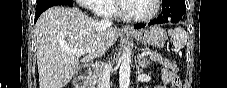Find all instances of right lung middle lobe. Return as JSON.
Returning <instances> with one entry per match:
<instances>
[{"mask_svg":"<svg viewBox=\"0 0 227 88\" xmlns=\"http://www.w3.org/2000/svg\"><path fill=\"white\" fill-rule=\"evenodd\" d=\"M45 3H57L72 5V0H37V6L43 5Z\"/></svg>","mask_w":227,"mask_h":88,"instance_id":"right-lung-middle-lobe-1","label":"right lung middle lobe"}]
</instances>
